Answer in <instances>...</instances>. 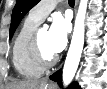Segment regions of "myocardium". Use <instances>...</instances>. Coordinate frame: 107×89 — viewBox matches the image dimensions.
Returning <instances> with one entry per match:
<instances>
[{
    "instance_id": "obj_1",
    "label": "myocardium",
    "mask_w": 107,
    "mask_h": 89,
    "mask_svg": "<svg viewBox=\"0 0 107 89\" xmlns=\"http://www.w3.org/2000/svg\"><path fill=\"white\" fill-rule=\"evenodd\" d=\"M39 33L40 30L37 29L32 37L31 41V56L34 60V62L41 67L42 69H48L52 67L56 61H57V56L54 54L51 57H47L40 46V41H39Z\"/></svg>"
}]
</instances>
